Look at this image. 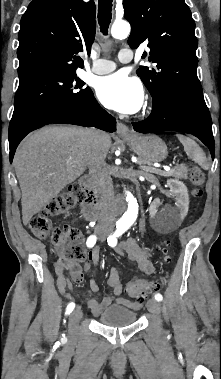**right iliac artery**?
Returning <instances> with one entry per match:
<instances>
[{
  "label": "right iliac artery",
  "mask_w": 221,
  "mask_h": 379,
  "mask_svg": "<svg viewBox=\"0 0 221 379\" xmlns=\"http://www.w3.org/2000/svg\"><path fill=\"white\" fill-rule=\"evenodd\" d=\"M96 240H97V237L95 235L89 236L86 242L87 247L89 248L93 247L96 243ZM74 308H75V303L70 302L66 307V314H69L70 312H72Z\"/></svg>",
  "instance_id": "82829eb1"
}]
</instances>
